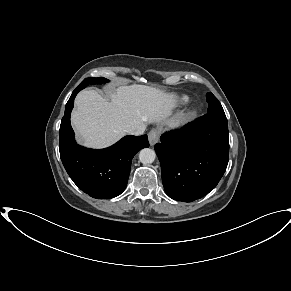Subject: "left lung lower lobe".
<instances>
[{"mask_svg": "<svg viewBox=\"0 0 291 291\" xmlns=\"http://www.w3.org/2000/svg\"><path fill=\"white\" fill-rule=\"evenodd\" d=\"M155 151L167 195L184 202L202 198L216 187L228 165L226 115L206 114L163 134Z\"/></svg>", "mask_w": 291, "mask_h": 291, "instance_id": "obj_1", "label": "left lung lower lobe"}]
</instances>
